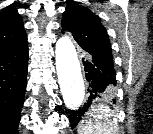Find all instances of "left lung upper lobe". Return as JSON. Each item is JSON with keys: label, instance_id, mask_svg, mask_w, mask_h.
<instances>
[{"label": "left lung upper lobe", "instance_id": "5c2ea615", "mask_svg": "<svg viewBox=\"0 0 153 134\" xmlns=\"http://www.w3.org/2000/svg\"><path fill=\"white\" fill-rule=\"evenodd\" d=\"M61 26L62 31H70L79 44L89 56L96 57L113 67V56L108 34L96 16L90 9L70 3L63 13ZM114 83L109 92L113 93Z\"/></svg>", "mask_w": 153, "mask_h": 134}]
</instances>
